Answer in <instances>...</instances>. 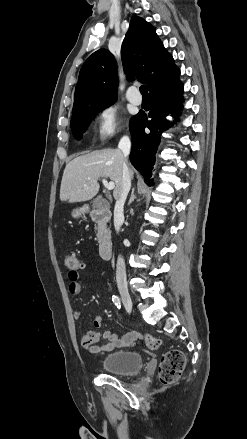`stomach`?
Instances as JSON below:
<instances>
[{"mask_svg": "<svg viewBox=\"0 0 247 439\" xmlns=\"http://www.w3.org/2000/svg\"><path fill=\"white\" fill-rule=\"evenodd\" d=\"M85 210L84 208H80V209H74L71 213L72 217L74 218H78L80 217L82 214H84Z\"/></svg>", "mask_w": 247, "mask_h": 439, "instance_id": "obj_1", "label": "stomach"}]
</instances>
